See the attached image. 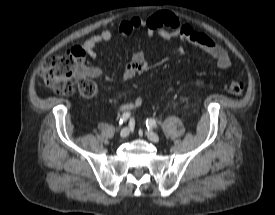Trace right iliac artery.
I'll return each mask as SVG.
<instances>
[{"instance_id": "obj_1", "label": "right iliac artery", "mask_w": 275, "mask_h": 215, "mask_svg": "<svg viewBox=\"0 0 275 215\" xmlns=\"http://www.w3.org/2000/svg\"><path fill=\"white\" fill-rule=\"evenodd\" d=\"M129 117H130V113L129 112L124 113L121 116L120 120H119V125L121 126L122 124H124L128 120Z\"/></svg>"}]
</instances>
